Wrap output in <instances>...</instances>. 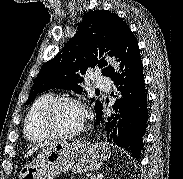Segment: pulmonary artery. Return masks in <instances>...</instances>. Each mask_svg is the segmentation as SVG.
I'll use <instances>...</instances> for the list:
<instances>
[{"mask_svg":"<svg viewBox=\"0 0 183 179\" xmlns=\"http://www.w3.org/2000/svg\"><path fill=\"white\" fill-rule=\"evenodd\" d=\"M111 81L109 78L104 76H98L96 78V86L101 89L108 90L110 88Z\"/></svg>","mask_w":183,"mask_h":179,"instance_id":"1","label":"pulmonary artery"}]
</instances>
